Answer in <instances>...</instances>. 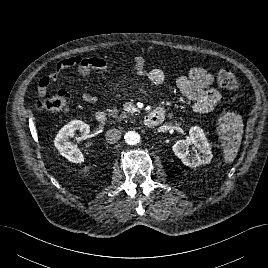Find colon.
<instances>
[{
    "instance_id": "obj_1",
    "label": "colon",
    "mask_w": 268,
    "mask_h": 268,
    "mask_svg": "<svg viewBox=\"0 0 268 268\" xmlns=\"http://www.w3.org/2000/svg\"><path fill=\"white\" fill-rule=\"evenodd\" d=\"M217 80L220 86L226 90L232 91L239 87V81L236 75L228 68L219 69ZM40 90L43 91V88L40 87ZM69 101V93L65 90H60L51 96L39 99L36 103V108L42 112L55 113L65 110L69 105Z\"/></svg>"
}]
</instances>
